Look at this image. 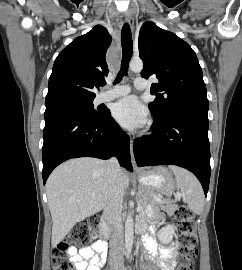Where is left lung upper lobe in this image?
<instances>
[{
  "label": "left lung upper lobe",
  "mask_w": 242,
  "mask_h": 270,
  "mask_svg": "<svg viewBox=\"0 0 242 270\" xmlns=\"http://www.w3.org/2000/svg\"><path fill=\"white\" fill-rule=\"evenodd\" d=\"M138 48L144 62L141 76L159 79L151 86V94L157 98L149 103L155 119L163 120L186 110L208 111L202 69L195 52L185 41L147 21L140 28Z\"/></svg>",
  "instance_id": "1"
}]
</instances>
